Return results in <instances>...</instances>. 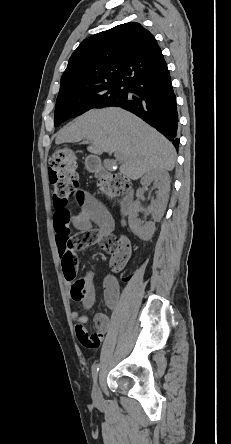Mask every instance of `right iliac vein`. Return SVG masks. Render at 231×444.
I'll return each mask as SVG.
<instances>
[{
    "mask_svg": "<svg viewBox=\"0 0 231 444\" xmlns=\"http://www.w3.org/2000/svg\"><path fill=\"white\" fill-rule=\"evenodd\" d=\"M92 398L97 404H100L102 402V394L97 381H95V384L93 386Z\"/></svg>",
    "mask_w": 231,
    "mask_h": 444,
    "instance_id": "63e3f726",
    "label": "right iliac vein"
}]
</instances>
